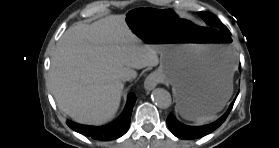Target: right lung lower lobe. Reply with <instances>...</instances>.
I'll use <instances>...</instances> for the list:
<instances>
[{
    "label": "right lung lower lobe",
    "mask_w": 279,
    "mask_h": 148,
    "mask_svg": "<svg viewBox=\"0 0 279 148\" xmlns=\"http://www.w3.org/2000/svg\"><path fill=\"white\" fill-rule=\"evenodd\" d=\"M135 101V95L130 93L123 113L109 125L103 127H93L80 125L72 121H67V125L78 133L91 137L95 140L109 141L112 139H117L124 135L129 128L131 113Z\"/></svg>",
    "instance_id": "right-lung-lower-lobe-1"
}]
</instances>
